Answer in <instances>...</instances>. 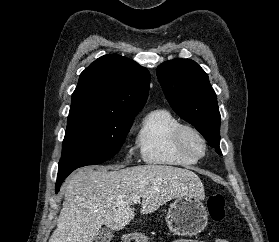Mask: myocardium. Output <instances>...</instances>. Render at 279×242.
Wrapping results in <instances>:
<instances>
[{"instance_id": "obj_1", "label": "myocardium", "mask_w": 279, "mask_h": 242, "mask_svg": "<svg viewBox=\"0 0 279 242\" xmlns=\"http://www.w3.org/2000/svg\"><path fill=\"white\" fill-rule=\"evenodd\" d=\"M189 138L196 139L201 145V152L196 153L190 147ZM175 145L178 151L184 156L198 161L202 159L207 152V141L203 134L193 126L190 125H180L174 134Z\"/></svg>"}]
</instances>
